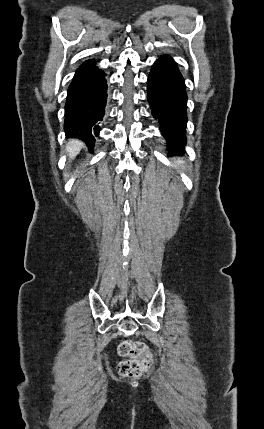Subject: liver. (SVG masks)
Instances as JSON below:
<instances>
[{
  "label": "liver",
  "mask_w": 264,
  "mask_h": 429,
  "mask_svg": "<svg viewBox=\"0 0 264 429\" xmlns=\"http://www.w3.org/2000/svg\"><path fill=\"white\" fill-rule=\"evenodd\" d=\"M83 147V143L81 141L72 139L68 142L66 146V152L69 154V157L74 158Z\"/></svg>",
  "instance_id": "obj_1"
}]
</instances>
